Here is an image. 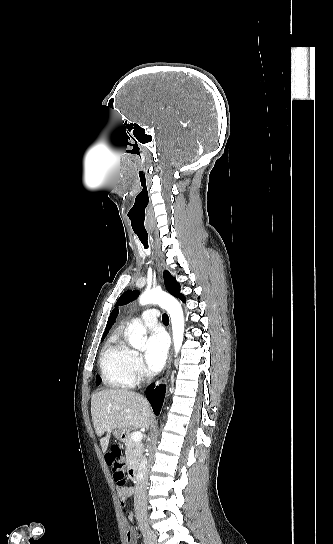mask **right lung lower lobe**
I'll return each instance as SVG.
<instances>
[{
    "instance_id": "98d812e1",
    "label": "right lung lower lobe",
    "mask_w": 333,
    "mask_h": 544,
    "mask_svg": "<svg viewBox=\"0 0 333 544\" xmlns=\"http://www.w3.org/2000/svg\"><path fill=\"white\" fill-rule=\"evenodd\" d=\"M165 389L166 387L164 385H160L155 388V385L153 384L146 390V397L151 403L153 411L156 415H159L160 413L164 400Z\"/></svg>"
}]
</instances>
